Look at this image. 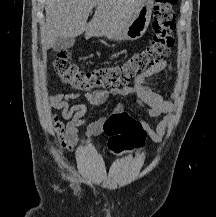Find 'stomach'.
I'll list each match as a JSON object with an SVG mask.
<instances>
[{
	"label": "stomach",
	"mask_w": 216,
	"mask_h": 217,
	"mask_svg": "<svg viewBox=\"0 0 216 217\" xmlns=\"http://www.w3.org/2000/svg\"><path fill=\"white\" fill-rule=\"evenodd\" d=\"M154 0H141L135 13L110 38L116 40H137L146 32L151 20Z\"/></svg>",
	"instance_id": "1"
}]
</instances>
